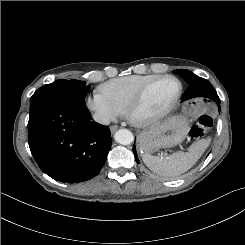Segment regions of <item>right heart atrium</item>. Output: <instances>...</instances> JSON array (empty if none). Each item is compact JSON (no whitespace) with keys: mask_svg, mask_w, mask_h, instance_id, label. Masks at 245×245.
<instances>
[{"mask_svg":"<svg viewBox=\"0 0 245 245\" xmlns=\"http://www.w3.org/2000/svg\"><path fill=\"white\" fill-rule=\"evenodd\" d=\"M85 105L94 119L103 125L113 122L124 113L122 109L114 104L100 90L88 95L85 99Z\"/></svg>","mask_w":245,"mask_h":245,"instance_id":"d8ad5b80","label":"right heart atrium"}]
</instances>
